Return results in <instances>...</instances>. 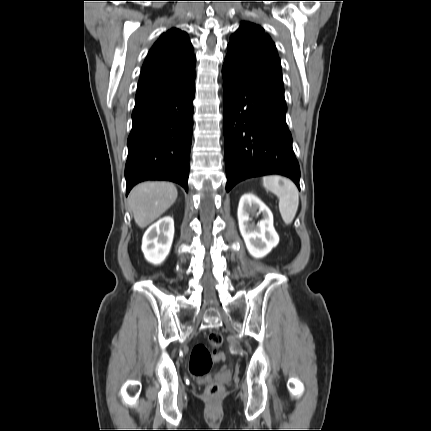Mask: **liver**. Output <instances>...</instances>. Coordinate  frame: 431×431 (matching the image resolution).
Masks as SVG:
<instances>
[{
	"mask_svg": "<svg viewBox=\"0 0 431 431\" xmlns=\"http://www.w3.org/2000/svg\"><path fill=\"white\" fill-rule=\"evenodd\" d=\"M178 192L169 182H143L135 186L128 197L129 210L135 223L145 228L158 219L176 201Z\"/></svg>",
	"mask_w": 431,
	"mask_h": 431,
	"instance_id": "liver-1",
	"label": "liver"
}]
</instances>
